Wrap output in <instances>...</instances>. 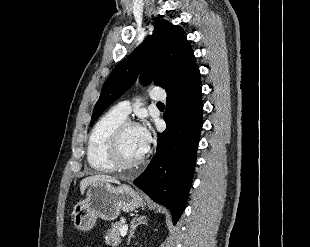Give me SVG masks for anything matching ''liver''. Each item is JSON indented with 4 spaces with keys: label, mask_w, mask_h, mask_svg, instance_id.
<instances>
[{
    "label": "liver",
    "mask_w": 310,
    "mask_h": 247,
    "mask_svg": "<svg viewBox=\"0 0 310 247\" xmlns=\"http://www.w3.org/2000/svg\"><path fill=\"white\" fill-rule=\"evenodd\" d=\"M96 182H106V183H115V184L119 183V181L115 177H112L109 175L98 174L94 176H89V177L82 179L80 182L81 194L84 193V191L89 185L96 183Z\"/></svg>",
    "instance_id": "6515ba94"
}]
</instances>
